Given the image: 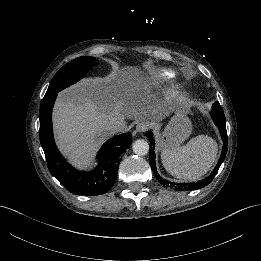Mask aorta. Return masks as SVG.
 Returning <instances> with one entry per match:
<instances>
[{"label":"aorta","instance_id":"obj_1","mask_svg":"<svg viewBox=\"0 0 261 261\" xmlns=\"http://www.w3.org/2000/svg\"><path fill=\"white\" fill-rule=\"evenodd\" d=\"M134 154L138 156H145L149 153V144L143 139H138L133 143L132 146Z\"/></svg>","mask_w":261,"mask_h":261}]
</instances>
